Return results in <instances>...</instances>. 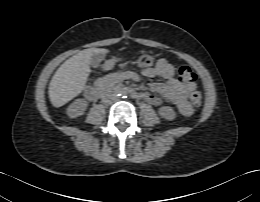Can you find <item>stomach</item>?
Instances as JSON below:
<instances>
[{"label":"stomach","instance_id":"1","mask_svg":"<svg viewBox=\"0 0 260 202\" xmlns=\"http://www.w3.org/2000/svg\"><path fill=\"white\" fill-rule=\"evenodd\" d=\"M136 63L141 68L151 67L154 63V58L150 55H142L137 59Z\"/></svg>","mask_w":260,"mask_h":202}]
</instances>
